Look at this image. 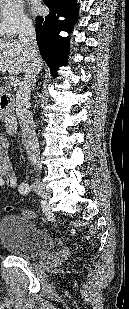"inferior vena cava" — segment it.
Here are the masks:
<instances>
[{"mask_svg": "<svg viewBox=\"0 0 129 309\" xmlns=\"http://www.w3.org/2000/svg\"><path fill=\"white\" fill-rule=\"evenodd\" d=\"M19 41L27 49L30 59V68L26 71L24 78L16 92V112L21 126L28 134V155L33 163L39 158V144L34 131V123L30 107L31 87L34 86L36 78L41 69V57L36 42L35 27L31 21H24L20 28Z\"/></svg>", "mask_w": 129, "mask_h": 309, "instance_id": "obj_1", "label": "inferior vena cava"}]
</instances>
